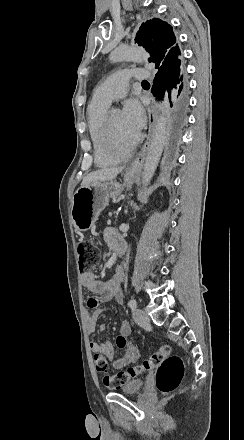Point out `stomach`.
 I'll list each match as a JSON object with an SVG mask.
<instances>
[{"instance_id": "1", "label": "stomach", "mask_w": 244, "mask_h": 440, "mask_svg": "<svg viewBox=\"0 0 244 440\" xmlns=\"http://www.w3.org/2000/svg\"><path fill=\"white\" fill-rule=\"evenodd\" d=\"M136 174L125 172L124 184L119 182H91L89 186H81L73 194L71 204V220L77 232H87L106 206L109 198H121L125 188H131Z\"/></svg>"}]
</instances>
